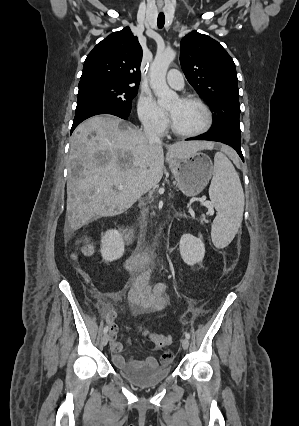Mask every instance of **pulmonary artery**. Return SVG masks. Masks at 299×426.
Returning a JSON list of instances; mask_svg holds the SVG:
<instances>
[{"instance_id":"e3ab8cb5","label":"pulmonary artery","mask_w":299,"mask_h":426,"mask_svg":"<svg viewBox=\"0 0 299 426\" xmlns=\"http://www.w3.org/2000/svg\"><path fill=\"white\" fill-rule=\"evenodd\" d=\"M167 82L173 88L182 89L184 86V77L179 70L171 69L167 74Z\"/></svg>"}]
</instances>
